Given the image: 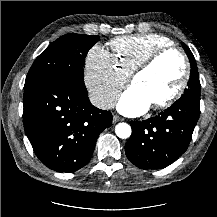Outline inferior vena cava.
I'll list each match as a JSON object with an SVG mask.
<instances>
[{"mask_svg": "<svg viewBox=\"0 0 217 217\" xmlns=\"http://www.w3.org/2000/svg\"><path fill=\"white\" fill-rule=\"evenodd\" d=\"M89 99L95 107L103 110L114 108L116 104V97L109 93H92Z\"/></svg>", "mask_w": 217, "mask_h": 217, "instance_id": "602c4592", "label": "inferior vena cava"}]
</instances>
